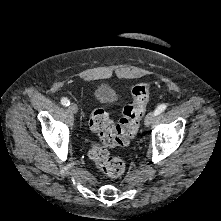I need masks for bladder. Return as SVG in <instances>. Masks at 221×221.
<instances>
[{"label":"bladder","mask_w":221,"mask_h":221,"mask_svg":"<svg viewBox=\"0 0 221 221\" xmlns=\"http://www.w3.org/2000/svg\"><path fill=\"white\" fill-rule=\"evenodd\" d=\"M114 94L112 87L108 85H101L94 90L95 98L100 102H105Z\"/></svg>","instance_id":"bladder-1"}]
</instances>
